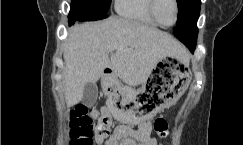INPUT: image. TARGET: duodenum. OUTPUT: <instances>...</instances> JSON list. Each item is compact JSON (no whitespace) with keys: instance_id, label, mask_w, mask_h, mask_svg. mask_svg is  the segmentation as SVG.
<instances>
[{"instance_id":"1","label":"duodenum","mask_w":243,"mask_h":145,"mask_svg":"<svg viewBox=\"0 0 243 145\" xmlns=\"http://www.w3.org/2000/svg\"><path fill=\"white\" fill-rule=\"evenodd\" d=\"M105 75H106V82L109 83L111 81V70L106 69L105 70Z\"/></svg>"}]
</instances>
